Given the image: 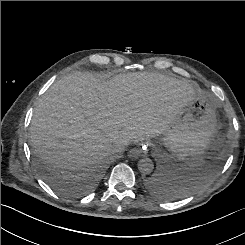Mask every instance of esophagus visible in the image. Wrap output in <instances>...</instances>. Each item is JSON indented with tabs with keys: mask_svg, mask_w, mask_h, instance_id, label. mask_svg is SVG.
<instances>
[{
	"mask_svg": "<svg viewBox=\"0 0 245 245\" xmlns=\"http://www.w3.org/2000/svg\"><path fill=\"white\" fill-rule=\"evenodd\" d=\"M148 145L145 143H141L139 144L138 148L134 149L133 151H131V156L132 157H137L138 155H140L141 153H148Z\"/></svg>",
	"mask_w": 245,
	"mask_h": 245,
	"instance_id": "esophagus-1",
	"label": "esophagus"
}]
</instances>
